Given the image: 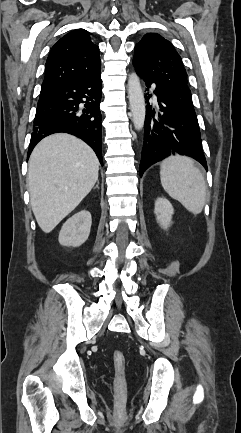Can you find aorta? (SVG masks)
<instances>
[{
    "instance_id": "762f6f07",
    "label": "aorta",
    "mask_w": 241,
    "mask_h": 433,
    "mask_svg": "<svg viewBox=\"0 0 241 433\" xmlns=\"http://www.w3.org/2000/svg\"><path fill=\"white\" fill-rule=\"evenodd\" d=\"M128 98L134 127L140 131L144 126L146 109L140 80L136 73H132L128 78Z\"/></svg>"
}]
</instances>
